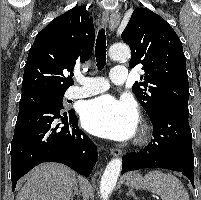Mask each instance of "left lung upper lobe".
<instances>
[{
  "mask_svg": "<svg viewBox=\"0 0 201 200\" xmlns=\"http://www.w3.org/2000/svg\"><path fill=\"white\" fill-rule=\"evenodd\" d=\"M121 37L131 49L129 66L143 65L145 74L132 90L147 114L166 103L188 104L186 59L172 27L151 10L138 8Z\"/></svg>",
  "mask_w": 201,
  "mask_h": 200,
  "instance_id": "1",
  "label": "left lung upper lobe"
}]
</instances>
